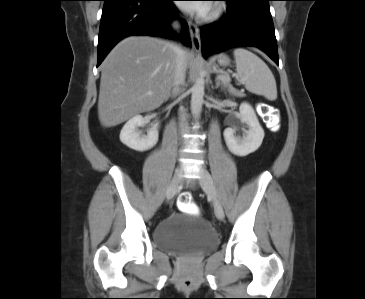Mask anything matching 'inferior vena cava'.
<instances>
[{
    "label": "inferior vena cava",
    "mask_w": 365,
    "mask_h": 299,
    "mask_svg": "<svg viewBox=\"0 0 365 299\" xmlns=\"http://www.w3.org/2000/svg\"><path fill=\"white\" fill-rule=\"evenodd\" d=\"M177 27V25H175ZM176 47V64H175V79H174V89L173 92L176 94L179 92V85L184 82L185 79V61H184V55L183 50L180 46ZM180 126L183 129L185 126V114L184 111H181L180 113Z\"/></svg>",
    "instance_id": "1"
}]
</instances>
